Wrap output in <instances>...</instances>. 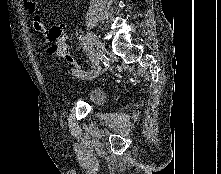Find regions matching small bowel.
<instances>
[{
	"instance_id": "obj_1",
	"label": "small bowel",
	"mask_w": 221,
	"mask_h": 174,
	"mask_svg": "<svg viewBox=\"0 0 221 174\" xmlns=\"http://www.w3.org/2000/svg\"><path fill=\"white\" fill-rule=\"evenodd\" d=\"M24 1L34 29L37 32H43L45 29V24L43 23L40 15L38 0H24ZM65 27H66L65 22H60L55 26H53V28L58 29L61 33H63ZM46 41L50 42L48 39H46ZM47 52L49 54H54V52L52 51V47H49L47 49Z\"/></svg>"
}]
</instances>
